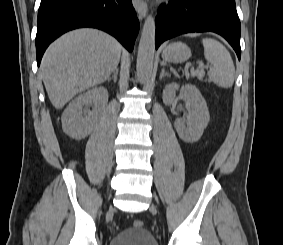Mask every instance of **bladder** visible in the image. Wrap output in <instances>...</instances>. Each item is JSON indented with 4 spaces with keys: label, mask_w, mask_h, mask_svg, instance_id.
Returning a JSON list of instances; mask_svg holds the SVG:
<instances>
[{
    "label": "bladder",
    "mask_w": 283,
    "mask_h": 245,
    "mask_svg": "<svg viewBox=\"0 0 283 245\" xmlns=\"http://www.w3.org/2000/svg\"><path fill=\"white\" fill-rule=\"evenodd\" d=\"M109 245H158L153 234L145 228H126L115 234Z\"/></svg>",
    "instance_id": "bladder-1"
}]
</instances>
